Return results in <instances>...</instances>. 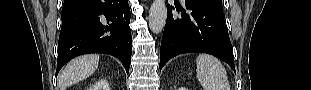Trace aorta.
<instances>
[{"label":"aorta","mask_w":311,"mask_h":90,"mask_svg":"<svg viewBox=\"0 0 311 90\" xmlns=\"http://www.w3.org/2000/svg\"><path fill=\"white\" fill-rule=\"evenodd\" d=\"M166 18L165 0H154L149 11L150 30L155 34H159L164 29Z\"/></svg>","instance_id":"762f6f07"}]
</instances>
